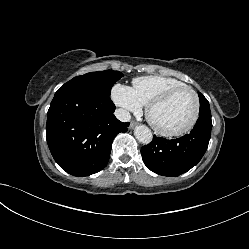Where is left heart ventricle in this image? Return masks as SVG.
<instances>
[{"instance_id":"b2bd125f","label":"left heart ventricle","mask_w":249,"mask_h":249,"mask_svg":"<svg viewBox=\"0 0 249 249\" xmlns=\"http://www.w3.org/2000/svg\"><path fill=\"white\" fill-rule=\"evenodd\" d=\"M195 100L191 92L181 91L152 112L154 123L163 130L175 131L188 124L193 116Z\"/></svg>"}]
</instances>
